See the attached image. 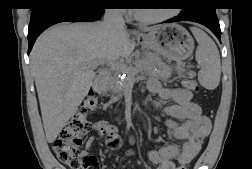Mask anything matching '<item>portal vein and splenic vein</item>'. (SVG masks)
<instances>
[{"label":"portal vein and splenic vein","instance_id":"obj_1","mask_svg":"<svg viewBox=\"0 0 252 169\" xmlns=\"http://www.w3.org/2000/svg\"><path fill=\"white\" fill-rule=\"evenodd\" d=\"M108 65L116 71H121L123 73L129 71L126 65L118 61L109 62Z\"/></svg>","mask_w":252,"mask_h":169}]
</instances>
